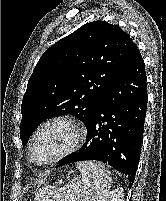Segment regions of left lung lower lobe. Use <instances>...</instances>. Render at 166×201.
<instances>
[{
	"label": "left lung lower lobe",
	"instance_id": "0a47b994",
	"mask_svg": "<svg viewBox=\"0 0 166 201\" xmlns=\"http://www.w3.org/2000/svg\"><path fill=\"white\" fill-rule=\"evenodd\" d=\"M144 61L137 50L129 65L104 96L87 127V139L79 152L57 165L98 160L126 175L130 186L140 159L147 105Z\"/></svg>",
	"mask_w": 166,
	"mask_h": 201
}]
</instances>
